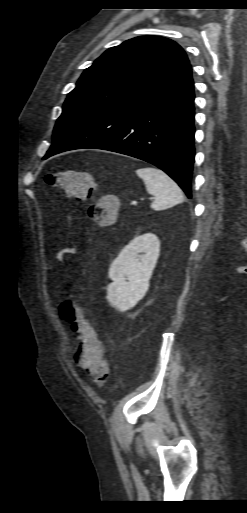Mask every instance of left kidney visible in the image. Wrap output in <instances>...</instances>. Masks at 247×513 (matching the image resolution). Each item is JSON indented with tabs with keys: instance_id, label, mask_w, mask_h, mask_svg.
I'll return each mask as SVG.
<instances>
[{
	"instance_id": "5707ae66",
	"label": "left kidney",
	"mask_w": 247,
	"mask_h": 513,
	"mask_svg": "<svg viewBox=\"0 0 247 513\" xmlns=\"http://www.w3.org/2000/svg\"><path fill=\"white\" fill-rule=\"evenodd\" d=\"M160 253V241L155 234L135 237L112 262L107 300L116 310L133 308L149 289V280Z\"/></svg>"
}]
</instances>
